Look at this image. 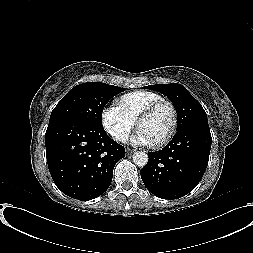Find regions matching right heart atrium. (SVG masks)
<instances>
[{"mask_svg": "<svg viewBox=\"0 0 253 253\" xmlns=\"http://www.w3.org/2000/svg\"><path fill=\"white\" fill-rule=\"evenodd\" d=\"M102 124L105 130L117 142H124L135 126V121L117 105L106 106L101 114Z\"/></svg>", "mask_w": 253, "mask_h": 253, "instance_id": "right-heart-atrium-1", "label": "right heart atrium"}]
</instances>
